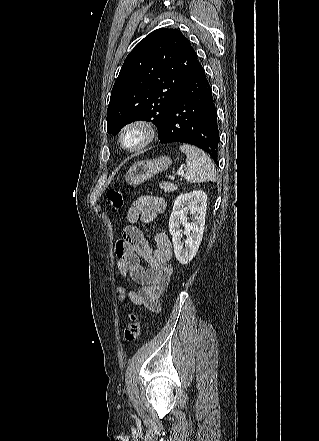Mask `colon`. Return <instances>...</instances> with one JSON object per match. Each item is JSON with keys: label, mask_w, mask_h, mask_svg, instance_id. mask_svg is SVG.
<instances>
[{"label": "colon", "mask_w": 319, "mask_h": 441, "mask_svg": "<svg viewBox=\"0 0 319 441\" xmlns=\"http://www.w3.org/2000/svg\"><path fill=\"white\" fill-rule=\"evenodd\" d=\"M107 199L113 213H119L125 203V193L121 189H111L107 192ZM140 334V321L135 314L130 315L129 322L124 328L123 339L130 343L134 342Z\"/></svg>", "instance_id": "5ec220e1"}]
</instances>
